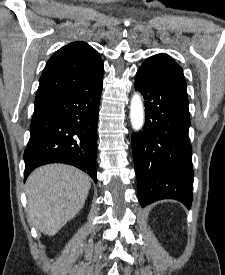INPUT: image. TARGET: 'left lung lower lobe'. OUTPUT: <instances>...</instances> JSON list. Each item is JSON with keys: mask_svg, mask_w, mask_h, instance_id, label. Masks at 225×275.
<instances>
[{"mask_svg": "<svg viewBox=\"0 0 225 275\" xmlns=\"http://www.w3.org/2000/svg\"><path fill=\"white\" fill-rule=\"evenodd\" d=\"M135 89L144 98L143 130L132 134V150L142 207L176 199L191 207L193 167L188 97L137 71Z\"/></svg>", "mask_w": 225, "mask_h": 275, "instance_id": "1", "label": "left lung lower lobe"}]
</instances>
